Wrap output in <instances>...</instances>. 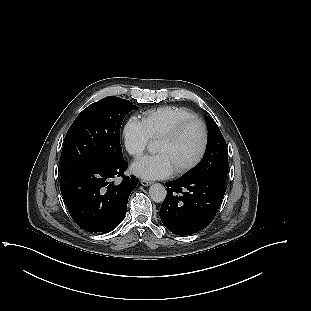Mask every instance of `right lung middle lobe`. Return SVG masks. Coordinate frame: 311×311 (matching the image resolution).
<instances>
[{"label":"right lung middle lobe","instance_id":"obj_1","mask_svg":"<svg viewBox=\"0 0 311 311\" xmlns=\"http://www.w3.org/2000/svg\"><path fill=\"white\" fill-rule=\"evenodd\" d=\"M139 107L115 96L85 108L69 128L60 158V175L87 163H115L123 159L120 127L125 115Z\"/></svg>","mask_w":311,"mask_h":311}]
</instances>
